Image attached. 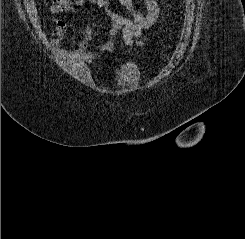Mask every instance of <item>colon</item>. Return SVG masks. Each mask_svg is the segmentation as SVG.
<instances>
[{"instance_id": "colon-1", "label": "colon", "mask_w": 245, "mask_h": 239, "mask_svg": "<svg viewBox=\"0 0 245 239\" xmlns=\"http://www.w3.org/2000/svg\"><path fill=\"white\" fill-rule=\"evenodd\" d=\"M53 2H58V0H53Z\"/></svg>"}]
</instances>
